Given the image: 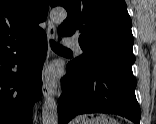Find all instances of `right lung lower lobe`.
<instances>
[{
    "instance_id": "right-lung-lower-lobe-1",
    "label": "right lung lower lobe",
    "mask_w": 156,
    "mask_h": 124,
    "mask_svg": "<svg viewBox=\"0 0 156 124\" xmlns=\"http://www.w3.org/2000/svg\"><path fill=\"white\" fill-rule=\"evenodd\" d=\"M46 53L43 30L27 40L0 45V124H32V107L42 92ZM14 65L17 73L11 70Z\"/></svg>"
}]
</instances>
